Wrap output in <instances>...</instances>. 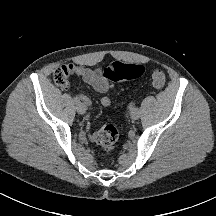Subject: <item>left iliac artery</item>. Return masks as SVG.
<instances>
[{"label": "left iliac artery", "instance_id": "1", "mask_svg": "<svg viewBox=\"0 0 216 216\" xmlns=\"http://www.w3.org/2000/svg\"><path fill=\"white\" fill-rule=\"evenodd\" d=\"M134 108H135V104H134V103H130V104H129V109L132 110V109H134Z\"/></svg>", "mask_w": 216, "mask_h": 216}]
</instances>
